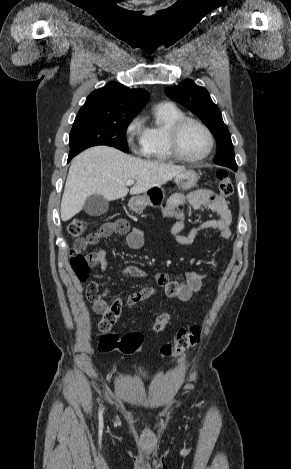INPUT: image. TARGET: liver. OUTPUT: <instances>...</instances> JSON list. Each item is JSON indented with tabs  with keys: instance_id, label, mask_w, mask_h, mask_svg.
<instances>
[{
	"instance_id": "1",
	"label": "liver",
	"mask_w": 291,
	"mask_h": 469,
	"mask_svg": "<svg viewBox=\"0 0 291 469\" xmlns=\"http://www.w3.org/2000/svg\"><path fill=\"white\" fill-rule=\"evenodd\" d=\"M185 170L183 166L146 161L108 146L89 148L72 160L61 200V220L68 221L78 214L92 194L117 200L128 194V180L136 182L130 189L135 195L161 186Z\"/></svg>"
}]
</instances>
